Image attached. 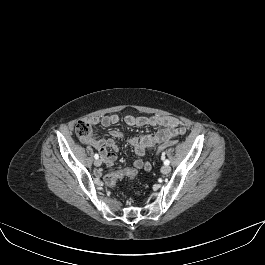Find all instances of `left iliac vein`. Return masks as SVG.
<instances>
[{"label":"left iliac vein","instance_id":"4c4485c4","mask_svg":"<svg viewBox=\"0 0 265 265\" xmlns=\"http://www.w3.org/2000/svg\"><path fill=\"white\" fill-rule=\"evenodd\" d=\"M170 171H171V168H170V166H168V165H164V166L161 168V172H162L163 174H168Z\"/></svg>","mask_w":265,"mask_h":265}]
</instances>
